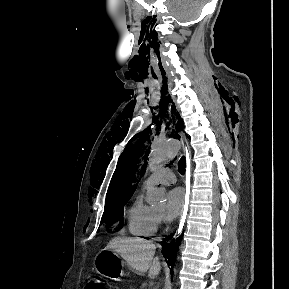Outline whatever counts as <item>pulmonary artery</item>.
Returning <instances> with one entry per match:
<instances>
[{"instance_id": "obj_1", "label": "pulmonary artery", "mask_w": 289, "mask_h": 289, "mask_svg": "<svg viewBox=\"0 0 289 289\" xmlns=\"http://www.w3.org/2000/svg\"><path fill=\"white\" fill-rule=\"evenodd\" d=\"M175 182V174L174 172L169 168H161L158 171H156L154 174H152L149 178H147L143 186L148 187L150 185L155 184H171Z\"/></svg>"}]
</instances>
